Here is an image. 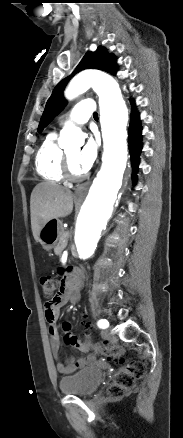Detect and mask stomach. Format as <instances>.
Wrapping results in <instances>:
<instances>
[{"label": "stomach", "mask_w": 183, "mask_h": 438, "mask_svg": "<svg viewBox=\"0 0 183 438\" xmlns=\"http://www.w3.org/2000/svg\"><path fill=\"white\" fill-rule=\"evenodd\" d=\"M62 232L61 221L52 219L44 224L40 230L39 242L46 251H50L57 245Z\"/></svg>", "instance_id": "obj_1"}]
</instances>
